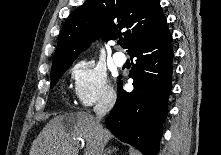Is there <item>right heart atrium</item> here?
<instances>
[{
    "label": "right heart atrium",
    "mask_w": 221,
    "mask_h": 155,
    "mask_svg": "<svg viewBox=\"0 0 221 155\" xmlns=\"http://www.w3.org/2000/svg\"><path fill=\"white\" fill-rule=\"evenodd\" d=\"M71 78L77 103L89 108L111 105L116 99L106 71L93 60H79L71 68Z\"/></svg>",
    "instance_id": "right-heart-atrium-1"
}]
</instances>
